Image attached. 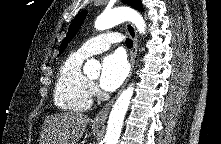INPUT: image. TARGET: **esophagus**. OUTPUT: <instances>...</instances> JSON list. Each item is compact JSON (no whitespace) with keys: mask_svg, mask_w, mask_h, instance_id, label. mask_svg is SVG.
Instances as JSON below:
<instances>
[{"mask_svg":"<svg viewBox=\"0 0 221 144\" xmlns=\"http://www.w3.org/2000/svg\"><path fill=\"white\" fill-rule=\"evenodd\" d=\"M126 30L129 34V36L133 40V48H132L131 54H130V64H131L130 72L128 74L126 81L124 82L123 86L121 87L120 91L117 93V95H115V97L112 98L93 119V123H95L97 125H101V124L105 123V121L108 117L109 111H110L115 99L118 97L120 92L123 90V88L125 87V85L127 84L128 80L130 79V77L132 75V71H133L134 63H135V58L137 55L138 40H137L136 30L131 23L126 24Z\"/></svg>","mask_w":221,"mask_h":144,"instance_id":"1","label":"esophagus"}]
</instances>
